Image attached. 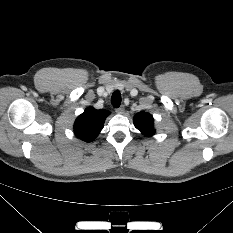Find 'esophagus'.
Wrapping results in <instances>:
<instances>
[{
  "mask_svg": "<svg viewBox=\"0 0 233 233\" xmlns=\"http://www.w3.org/2000/svg\"><path fill=\"white\" fill-rule=\"evenodd\" d=\"M116 113L123 114L124 113V106H121V107L117 108Z\"/></svg>",
  "mask_w": 233,
  "mask_h": 233,
  "instance_id": "obj_1",
  "label": "esophagus"
}]
</instances>
